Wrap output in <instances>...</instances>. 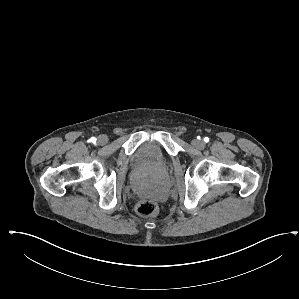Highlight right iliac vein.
Instances as JSON below:
<instances>
[{
  "mask_svg": "<svg viewBox=\"0 0 299 299\" xmlns=\"http://www.w3.org/2000/svg\"><path fill=\"white\" fill-rule=\"evenodd\" d=\"M108 142V137L106 135H99L97 138V143L101 146L105 145Z\"/></svg>",
  "mask_w": 299,
  "mask_h": 299,
  "instance_id": "63e3f726",
  "label": "right iliac vein"
}]
</instances>
